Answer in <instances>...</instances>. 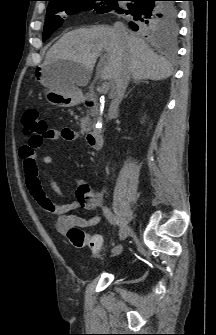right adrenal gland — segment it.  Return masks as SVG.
<instances>
[{"label":"right adrenal gland","instance_id":"obj_1","mask_svg":"<svg viewBox=\"0 0 216 335\" xmlns=\"http://www.w3.org/2000/svg\"><path fill=\"white\" fill-rule=\"evenodd\" d=\"M141 81H139V80H137V81H135L134 83L135 84H139ZM131 90H132V88L129 90V92L125 95V97H127L128 95H129V93L131 92Z\"/></svg>","mask_w":216,"mask_h":335}]
</instances>
